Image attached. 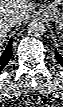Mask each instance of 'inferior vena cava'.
<instances>
[{
	"instance_id": "inferior-vena-cava-1",
	"label": "inferior vena cava",
	"mask_w": 63,
	"mask_h": 107,
	"mask_svg": "<svg viewBox=\"0 0 63 107\" xmlns=\"http://www.w3.org/2000/svg\"><path fill=\"white\" fill-rule=\"evenodd\" d=\"M16 23H17V19L13 15L7 17H1L0 19V25L2 28L11 29L14 27Z\"/></svg>"
}]
</instances>
